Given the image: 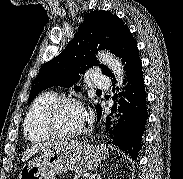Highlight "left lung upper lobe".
Wrapping results in <instances>:
<instances>
[{
	"label": "left lung upper lobe",
	"instance_id": "obj_1",
	"mask_svg": "<svg viewBox=\"0 0 183 179\" xmlns=\"http://www.w3.org/2000/svg\"><path fill=\"white\" fill-rule=\"evenodd\" d=\"M124 22L109 11H92L84 16L75 37L67 44L60 55L46 62L40 69L31 87L28 102H31L39 91L52 86L70 87L80 79L88 67L99 65L102 73L109 76L111 71L98 64L95 53L106 49L117 55L126 32ZM79 90V86L74 87ZM97 113L101 105L95 106Z\"/></svg>",
	"mask_w": 183,
	"mask_h": 179
}]
</instances>
